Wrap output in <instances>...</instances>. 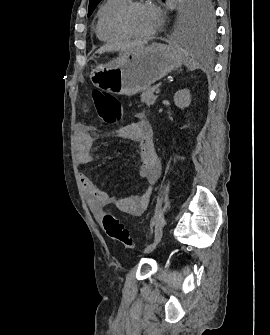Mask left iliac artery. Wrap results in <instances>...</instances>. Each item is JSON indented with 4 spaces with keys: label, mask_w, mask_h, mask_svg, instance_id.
<instances>
[{
    "label": "left iliac artery",
    "mask_w": 270,
    "mask_h": 335,
    "mask_svg": "<svg viewBox=\"0 0 270 335\" xmlns=\"http://www.w3.org/2000/svg\"><path fill=\"white\" fill-rule=\"evenodd\" d=\"M162 227H163V224L161 222H158L156 224V227H155V238H154L155 242H159L161 240V238H162V234H163Z\"/></svg>",
    "instance_id": "1"
}]
</instances>
